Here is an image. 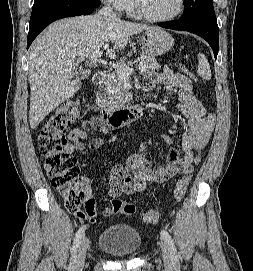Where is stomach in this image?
Masks as SVG:
<instances>
[{
    "label": "stomach",
    "instance_id": "0dacf381",
    "mask_svg": "<svg viewBox=\"0 0 253 271\" xmlns=\"http://www.w3.org/2000/svg\"><path fill=\"white\" fill-rule=\"evenodd\" d=\"M144 50L152 56H159L167 53L174 46V39L163 29L155 28L146 31L142 37Z\"/></svg>",
    "mask_w": 253,
    "mask_h": 271
}]
</instances>
